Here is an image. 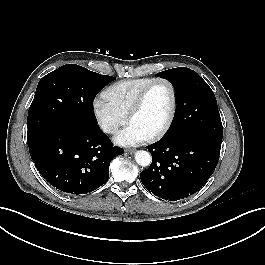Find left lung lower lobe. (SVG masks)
Returning <instances> with one entry per match:
<instances>
[{
  "instance_id": "left-lung-lower-lobe-1",
  "label": "left lung lower lobe",
  "mask_w": 265,
  "mask_h": 265,
  "mask_svg": "<svg viewBox=\"0 0 265 265\" xmlns=\"http://www.w3.org/2000/svg\"><path fill=\"white\" fill-rule=\"evenodd\" d=\"M222 138L190 131L148 146L150 167L141 172L145 188L169 201L188 197L207 182L219 160Z\"/></svg>"
}]
</instances>
